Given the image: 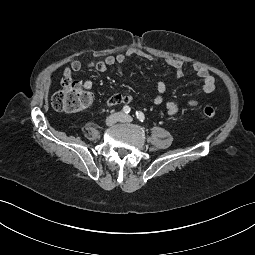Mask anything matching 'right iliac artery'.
<instances>
[{
    "mask_svg": "<svg viewBox=\"0 0 255 255\" xmlns=\"http://www.w3.org/2000/svg\"><path fill=\"white\" fill-rule=\"evenodd\" d=\"M130 110H131V109H130L129 106H124V107H123V112L126 113V114H128V113L130 112Z\"/></svg>",
    "mask_w": 255,
    "mask_h": 255,
    "instance_id": "obj_1",
    "label": "right iliac artery"
}]
</instances>
